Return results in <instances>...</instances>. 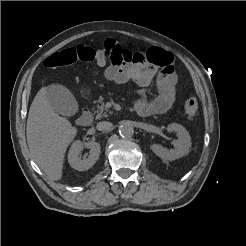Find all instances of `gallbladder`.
<instances>
[{
    "label": "gallbladder",
    "instance_id": "obj_1",
    "mask_svg": "<svg viewBox=\"0 0 246 246\" xmlns=\"http://www.w3.org/2000/svg\"><path fill=\"white\" fill-rule=\"evenodd\" d=\"M47 98L52 109L63 116H73L78 112V104L72 93L62 85H50Z\"/></svg>",
    "mask_w": 246,
    "mask_h": 246
}]
</instances>
